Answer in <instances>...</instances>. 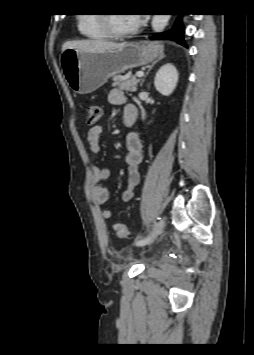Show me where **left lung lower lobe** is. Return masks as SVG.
I'll return each instance as SVG.
<instances>
[{"instance_id":"left-lung-lower-lobe-1","label":"left lung lower lobe","mask_w":254,"mask_h":355,"mask_svg":"<svg viewBox=\"0 0 254 355\" xmlns=\"http://www.w3.org/2000/svg\"><path fill=\"white\" fill-rule=\"evenodd\" d=\"M182 16V15H180ZM152 39H169L173 41H177L180 44L186 46L184 39H183V27L181 24V18H177L176 23L174 24L173 28L169 32H164L162 34H155L151 37Z\"/></svg>"}]
</instances>
